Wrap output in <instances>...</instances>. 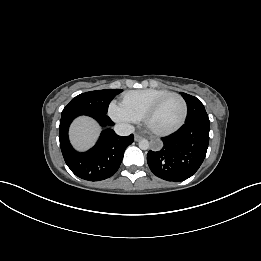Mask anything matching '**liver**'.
Instances as JSON below:
<instances>
[{
    "instance_id": "liver-1",
    "label": "liver",
    "mask_w": 261,
    "mask_h": 261,
    "mask_svg": "<svg viewBox=\"0 0 261 261\" xmlns=\"http://www.w3.org/2000/svg\"><path fill=\"white\" fill-rule=\"evenodd\" d=\"M100 127L91 118L82 116L77 118L70 127V139L78 150H87L92 147L100 134Z\"/></svg>"
}]
</instances>
